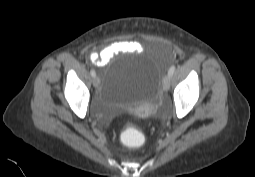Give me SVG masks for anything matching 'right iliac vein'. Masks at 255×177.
<instances>
[{
    "mask_svg": "<svg viewBox=\"0 0 255 177\" xmlns=\"http://www.w3.org/2000/svg\"><path fill=\"white\" fill-rule=\"evenodd\" d=\"M99 83H100L99 78L95 76V77L93 78V86H94L95 88H97V87L99 86Z\"/></svg>",
    "mask_w": 255,
    "mask_h": 177,
    "instance_id": "obj_1",
    "label": "right iliac vein"
}]
</instances>
